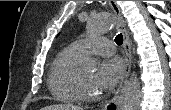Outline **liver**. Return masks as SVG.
Returning <instances> with one entry per match:
<instances>
[{
    "label": "liver",
    "mask_w": 171,
    "mask_h": 110,
    "mask_svg": "<svg viewBox=\"0 0 171 110\" xmlns=\"http://www.w3.org/2000/svg\"><path fill=\"white\" fill-rule=\"evenodd\" d=\"M41 110H83V108L73 105H50L43 107Z\"/></svg>",
    "instance_id": "obj_1"
}]
</instances>
